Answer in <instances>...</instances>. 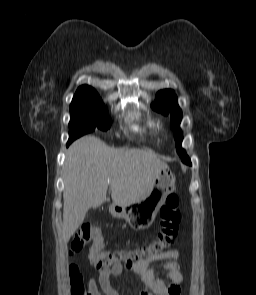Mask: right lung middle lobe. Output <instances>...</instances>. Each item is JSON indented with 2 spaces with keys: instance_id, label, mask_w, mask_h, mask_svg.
<instances>
[{
  "instance_id": "dd1d6c3e",
  "label": "right lung middle lobe",
  "mask_w": 256,
  "mask_h": 295,
  "mask_svg": "<svg viewBox=\"0 0 256 295\" xmlns=\"http://www.w3.org/2000/svg\"><path fill=\"white\" fill-rule=\"evenodd\" d=\"M69 145L78 137L96 128L106 131L111 126L108 112L101 100L81 101L70 105Z\"/></svg>"
}]
</instances>
